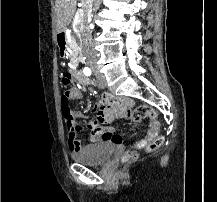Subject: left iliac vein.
<instances>
[{"mask_svg": "<svg viewBox=\"0 0 217 202\" xmlns=\"http://www.w3.org/2000/svg\"><path fill=\"white\" fill-rule=\"evenodd\" d=\"M98 87L100 88V89H105L106 88V82H105V80L103 79V77H99V79H98Z\"/></svg>", "mask_w": 217, "mask_h": 202, "instance_id": "obj_1", "label": "left iliac vein"}]
</instances>
